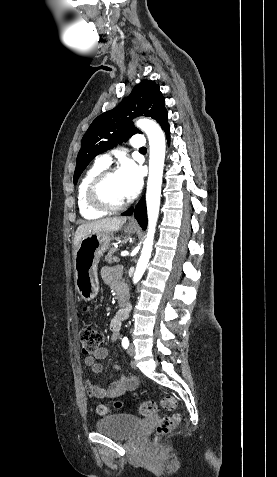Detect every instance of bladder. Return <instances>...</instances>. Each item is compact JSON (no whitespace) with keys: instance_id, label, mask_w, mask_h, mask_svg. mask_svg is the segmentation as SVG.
Listing matches in <instances>:
<instances>
[{"instance_id":"31cf9c89","label":"bladder","mask_w":277,"mask_h":477,"mask_svg":"<svg viewBox=\"0 0 277 477\" xmlns=\"http://www.w3.org/2000/svg\"><path fill=\"white\" fill-rule=\"evenodd\" d=\"M140 419L126 413L109 414L96 422V431L113 439L124 440L136 433Z\"/></svg>"}]
</instances>
